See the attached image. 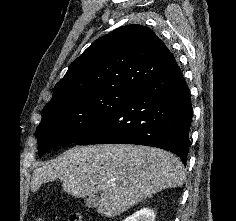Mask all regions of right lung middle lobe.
I'll return each mask as SVG.
<instances>
[{"instance_id": "obj_1", "label": "right lung middle lobe", "mask_w": 236, "mask_h": 221, "mask_svg": "<svg viewBox=\"0 0 236 221\" xmlns=\"http://www.w3.org/2000/svg\"><path fill=\"white\" fill-rule=\"evenodd\" d=\"M135 90L113 89L92 93L65 104L47 106L36 129L39 156L52 147L75 143L118 109Z\"/></svg>"}]
</instances>
